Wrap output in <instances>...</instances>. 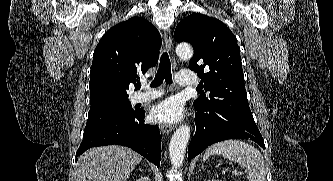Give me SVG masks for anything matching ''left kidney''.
Instances as JSON below:
<instances>
[{"label": "left kidney", "mask_w": 333, "mask_h": 181, "mask_svg": "<svg viewBox=\"0 0 333 181\" xmlns=\"http://www.w3.org/2000/svg\"><path fill=\"white\" fill-rule=\"evenodd\" d=\"M208 181H222V180H219V179H213V180H208Z\"/></svg>", "instance_id": "1"}]
</instances>
